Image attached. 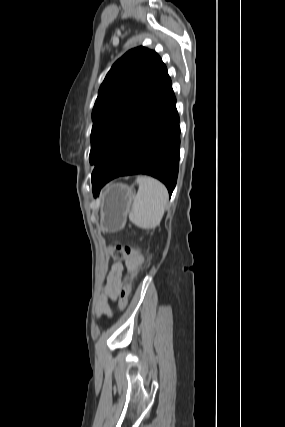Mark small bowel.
Instances as JSON below:
<instances>
[{"label": "small bowel", "mask_w": 285, "mask_h": 427, "mask_svg": "<svg viewBox=\"0 0 285 427\" xmlns=\"http://www.w3.org/2000/svg\"><path fill=\"white\" fill-rule=\"evenodd\" d=\"M143 263V258L138 256L130 261H126L128 268L140 266ZM123 264L117 262L113 264L109 275L107 277L106 285L104 286L103 293L98 299L96 311L99 316H111V308L108 300H116L118 293L123 284Z\"/></svg>", "instance_id": "1"}]
</instances>
